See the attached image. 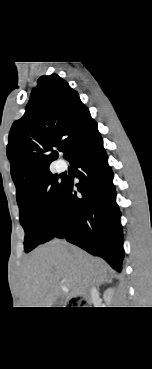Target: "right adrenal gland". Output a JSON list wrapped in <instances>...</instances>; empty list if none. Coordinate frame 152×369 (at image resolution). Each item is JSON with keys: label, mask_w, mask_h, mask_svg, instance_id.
<instances>
[{"label": "right adrenal gland", "mask_w": 152, "mask_h": 369, "mask_svg": "<svg viewBox=\"0 0 152 369\" xmlns=\"http://www.w3.org/2000/svg\"><path fill=\"white\" fill-rule=\"evenodd\" d=\"M105 282H111V280H108V278H106L103 282L99 283L97 286H100V285L104 284Z\"/></svg>", "instance_id": "1"}]
</instances>
